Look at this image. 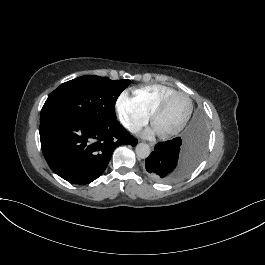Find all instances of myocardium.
<instances>
[{
    "mask_svg": "<svg viewBox=\"0 0 265 265\" xmlns=\"http://www.w3.org/2000/svg\"><path fill=\"white\" fill-rule=\"evenodd\" d=\"M176 95H180V96H183L185 98L186 110H185V113L183 115V118L174 128L169 129L167 131L159 132V134L163 137H168V136L174 135V134L178 133L179 131H181L186 126V124L188 123L190 116H191V113H192L193 106H192V102H191L190 98L182 92L172 91V92L168 93L167 95L163 96L161 99H159L157 101V103L155 104L154 109L152 111V118H151L153 126L155 127L157 115L160 112V110L162 109V107L166 104V102L170 98H172Z\"/></svg>",
    "mask_w": 265,
    "mask_h": 265,
    "instance_id": "f54148a6",
    "label": "myocardium"
}]
</instances>
